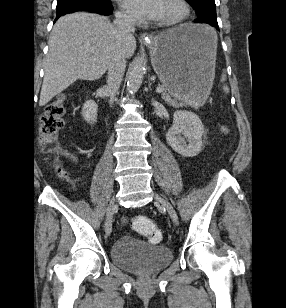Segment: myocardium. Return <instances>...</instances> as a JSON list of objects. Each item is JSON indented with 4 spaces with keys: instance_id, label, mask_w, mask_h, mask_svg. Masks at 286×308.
Masks as SVG:
<instances>
[{
    "instance_id": "1",
    "label": "myocardium",
    "mask_w": 286,
    "mask_h": 308,
    "mask_svg": "<svg viewBox=\"0 0 286 308\" xmlns=\"http://www.w3.org/2000/svg\"><path fill=\"white\" fill-rule=\"evenodd\" d=\"M172 2H174L179 7L181 11L180 14L175 18L159 20L157 22L158 25L163 27H172L179 25L188 18L190 14V8L186 0H173Z\"/></svg>"
}]
</instances>
